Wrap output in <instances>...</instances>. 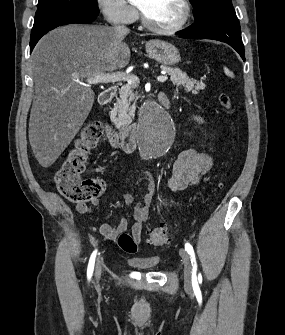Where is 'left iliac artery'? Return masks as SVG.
I'll return each instance as SVG.
<instances>
[{"mask_svg": "<svg viewBox=\"0 0 285 335\" xmlns=\"http://www.w3.org/2000/svg\"><path fill=\"white\" fill-rule=\"evenodd\" d=\"M185 250L188 252V254L191 256V263L193 266V271H192V279L196 278V271H197V264H196V259H195V254L193 247L189 244H185Z\"/></svg>", "mask_w": 285, "mask_h": 335, "instance_id": "obj_1", "label": "left iliac artery"}]
</instances>
